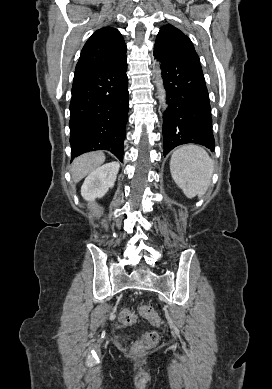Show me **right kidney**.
Wrapping results in <instances>:
<instances>
[{"label": "right kidney", "instance_id": "right-kidney-1", "mask_svg": "<svg viewBox=\"0 0 272 389\" xmlns=\"http://www.w3.org/2000/svg\"><path fill=\"white\" fill-rule=\"evenodd\" d=\"M119 168V163L111 162L91 172L81 187L82 197L87 201L102 198L114 186Z\"/></svg>", "mask_w": 272, "mask_h": 389}]
</instances>
